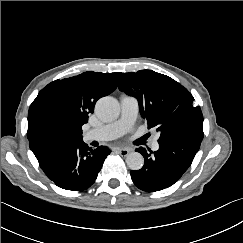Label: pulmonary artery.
Here are the masks:
<instances>
[{"mask_svg": "<svg viewBox=\"0 0 243 243\" xmlns=\"http://www.w3.org/2000/svg\"><path fill=\"white\" fill-rule=\"evenodd\" d=\"M121 116L110 124L99 128L88 130L83 134L86 141H107L120 137L126 133L134 124L138 110V100L133 96L123 95L120 98ZM151 148L154 151L159 149L158 136H154L150 141Z\"/></svg>", "mask_w": 243, "mask_h": 243, "instance_id": "pulmonary-artery-1", "label": "pulmonary artery"}]
</instances>
